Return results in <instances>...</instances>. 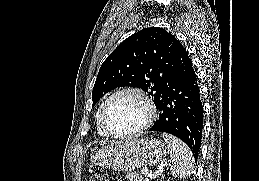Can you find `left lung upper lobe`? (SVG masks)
<instances>
[{
    "label": "left lung upper lobe",
    "instance_id": "left-lung-upper-lobe-1",
    "mask_svg": "<svg viewBox=\"0 0 259 181\" xmlns=\"http://www.w3.org/2000/svg\"><path fill=\"white\" fill-rule=\"evenodd\" d=\"M178 40L166 30L150 27L125 39L103 62L93 87L92 101L114 88L138 87L158 101L176 70Z\"/></svg>",
    "mask_w": 259,
    "mask_h": 181
}]
</instances>
